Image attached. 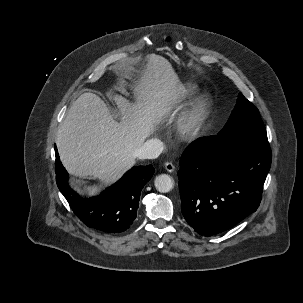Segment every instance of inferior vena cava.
<instances>
[{
    "label": "inferior vena cava",
    "instance_id": "1",
    "mask_svg": "<svg viewBox=\"0 0 303 303\" xmlns=\"http://www.w3.org/2000/svg\"><path fill=\"white\" fill-rule=\"evenodd\" d=\"M163 149V142L159 139H150L135 151L134 156L139 159H155L162 153Z\"/></svg>",
    "mask_w": 303,
    "mask_h": 303
}]
</instances>
